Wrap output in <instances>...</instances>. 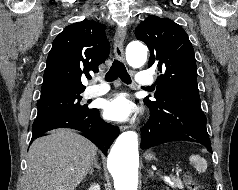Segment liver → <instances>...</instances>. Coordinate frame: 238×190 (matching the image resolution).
<instances>
[{"label": "liver", "mask_w": 238, "mask_h": 190, "mask_svg": "<svg viewBox=\"0 0 238 190\" xmlns=\"http://www.w3.org/2000/svg\"><path fill=\"white\" fill-rule=\"evenodd\" d=\"M97 148L71 129H56L29 148L24 190H75L86 177Z\"/></svg>", "instance_id": "liver-1"}]
</instances>
